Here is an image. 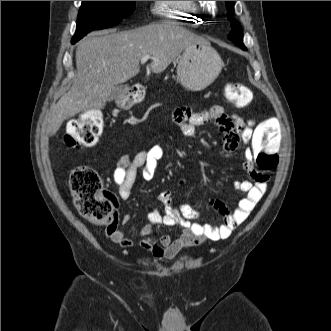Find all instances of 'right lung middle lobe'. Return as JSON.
I'll return each instance as SVG.
<instances>
[{
    "instance_id": "1",
    "label": "right lung middle lobe",
    "mask_w": 331,
    "mask_h": 331,
    "mask_svg": "<svg viewBox=\"0 0 331 331\" xmlns=\"http://www.w3.org/2000/svg\"><path fill=\"white\" fill-rule=\"evenodd\" d=\"M134 8L135 1H82L72 44L92 30L117 25Z\"/></svg>"
}]
</instances>
